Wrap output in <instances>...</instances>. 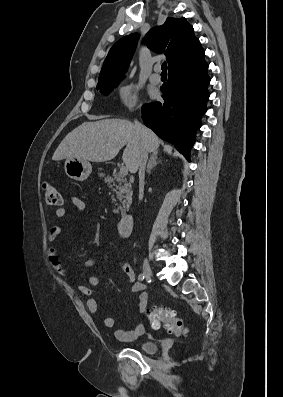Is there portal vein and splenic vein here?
<instances>
[{"label":"portal vein and splenic vein","instance_id":"1","mask_svg":"<svg viewBox=\"0 0 283 397\" xmlns=\"http://www.w3.org/2000/svg\"><path fill=\"white\" fill-rule=\"evenodd\" d=\"M119 174L122 175V176H126L128 174V168L126 166L120 167Z\"/></svg>","mask_w":283,"mask_h":397}]
</instances>
